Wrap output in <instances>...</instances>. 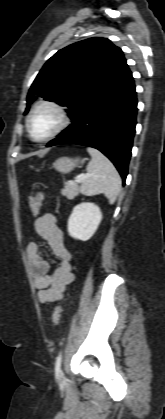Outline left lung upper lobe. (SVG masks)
<instances>
[{"label": "left lung upper lobe", "mask_w": 165, "mask_h": 419, "mask_svg": "<svg viewBox=\"0 0 165 419\" xmlns=\"http://www.w3.org/2000/svg\"><path fill=\"white\" fill-rule=\"evenodd\" d=\"M127 67L120 48L105 38H90L55 53L35 78L27 96V108L39 95L67 106L72 118L83 103Z\"/></svg>", "instance_id": "obj_1"}]
</instances>
